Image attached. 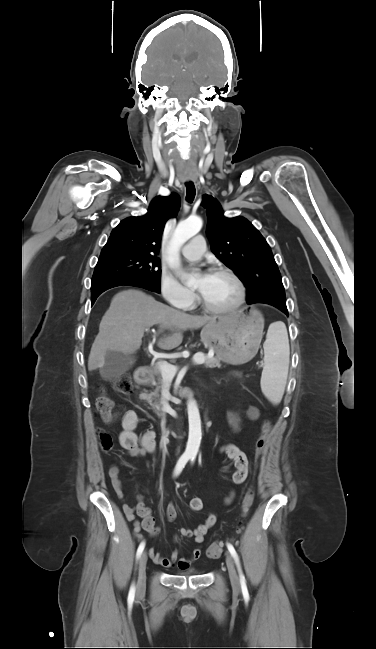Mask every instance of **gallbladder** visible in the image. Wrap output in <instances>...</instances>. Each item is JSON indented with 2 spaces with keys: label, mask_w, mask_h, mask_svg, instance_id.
Listing matches in <instances>:
<instances>
[{
  "label": "gallbladder",
  "mask_w": 376,
  "mask_h": 649,
  "mask_svg": "<svg viewBox=\"0 0 376 649\" xmlns=\"http://www.w3.org/2000/svg\"><path fill=\"white\" fill-rule=\"evenodd\" d=\"M134 362V353L108 350L105 354V363L99 369L101 377L105 380L116 379L129 370Z\"/></svg>",
  "instance_id": "obj_1"
}]
</instances>
